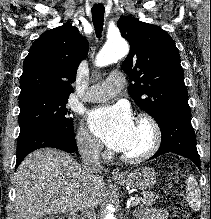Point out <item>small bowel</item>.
Masks as SVG:
<instances>
[{
    "instance_id": "obj_1",
    "label": "small bowel",
    "mask_w": 211,
    "mask_h": 219,
    "mask_svg": "<svg viewBox=\"0 0 211 219\" xmlns=\"http://www.w3.org/2000/svg\"><path fill=\"white\" fill-rule=\"evenodd\" d=\"M138 219H168V214L163 208H154L141 212Z\"/></svg>"
}]
</instances>
